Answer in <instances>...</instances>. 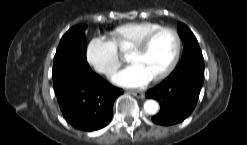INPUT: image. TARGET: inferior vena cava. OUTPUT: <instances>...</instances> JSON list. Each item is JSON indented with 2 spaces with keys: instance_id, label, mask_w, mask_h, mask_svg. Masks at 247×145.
<instances>
[{
  "instance_id": "inferior-vena-cava-1",
  "label": "inferior vena cava",
  "mask_w": 247,
  "mask_h": 145,
  "mask_svg": "<svg viewBox=\"0 0 247 145\" xmlns=\"http://www.w3.org/2000/svg\"><path fill=\"white\" fill-rule=\"evenodd\" d=\"M106 71H107V72H111V71H112V69H111V68H108V69H106Z\"/></svg>"
}]
</instances>
